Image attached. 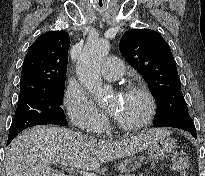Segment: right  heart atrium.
Instances as JSON below:
<instances>
[{
    "mask_svg": "<svg viewBox=\"0 0 205 176\" xmlns=\"http://www.w3.org/2000/svg\"><path fill=\"white\" fill-rule=\"evenodd\" d=\"M64 103L71 122L82 130L92 131L105 121L104 114L76 87L67 90Z\"/></svg>",
    "mask_w": 205,
    "mask_h": 176,
    "instance_id": "right-heart-atrium-1",
    "label": "right heart atrium"
}]
</instances>
